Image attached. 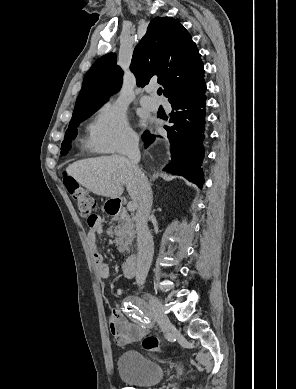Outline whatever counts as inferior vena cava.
Wrapping results in <instances>:
<instances>
[{"mask_svg":"<svg viewBox=\"0 0 296 389\" xmlns=\"http://www.w3.org/2000/svg\"><path fill=\"white\" fill-rule=\"evenodd\" d=\"M125 155L127 156L129 166L133 170L139 185V203L135 221L138 243L144 253L138 259L136 282L139 286H143L152 262L153 254V239L147 226L152 208V190L147 177L138 167L140 151L139 137L137 135H130L128 137Z\"/></svg>","mask_w":296,"mask_h":389,"instance_id":"obj_1","label":"inferior vena cava"}]
</instances>
